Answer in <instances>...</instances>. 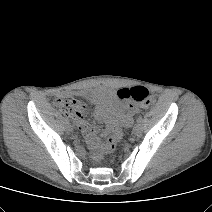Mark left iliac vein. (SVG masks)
Masks as SVG:
<instances>
[{
  "mask_svg": "<svg viewBox=\"0 0 212 212\" xmlns=\"http://www.w3.org/2000/svg\"><path fill=\"white\" fill-rule=\"evenodd\" d=\"M133 135L135 136H139L141 134V126L140 124H136L134 127H133V131H132Z\"/></svg>",
  "mask_w": 212,
  "mask_h": 212,
  "instance_id": "left-iliac-vein-1",
  "label": "left iliac vein"
}]
</instances>
